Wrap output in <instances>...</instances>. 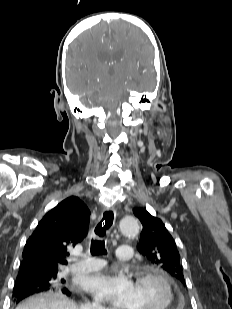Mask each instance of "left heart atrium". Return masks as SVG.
<instances>
[{
	"label": "left heart atrium",
	"mask_w": 232,
	"mask_h": 309,
	"mask_svg": "<svg viewBox=\"0 0 232 309\" xmlns=\"http://www.w3.org/2000/svg\"><path fill=\"white\" fill-rule=\"evenodd\" d=\"M86 288L99 300L121 309H129L132 303L134 283L125 274L114 270L89 277Z\"/></svg>",
	"instance_id": "39dd6f15"
}]
</instances>
